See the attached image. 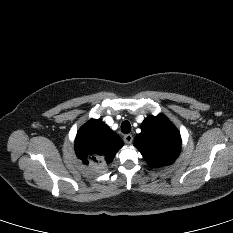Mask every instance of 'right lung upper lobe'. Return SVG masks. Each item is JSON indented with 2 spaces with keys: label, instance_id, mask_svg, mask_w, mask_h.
<instances>
[{
  "label": "right lung upper lobe",
  "instance_id": "1",
  "mask_svg": "<svg viewBox=\"0 0 233 233\" xmlns=\"http://www.w3.org/2000/svg\"><path fill=\"white\" fill-rule=\"evenodd\" d=\"M123 141L100 119H90L77 133L75 151L86 166L102 170L113 161Z\"/></svg>",
  "mask_w": 233,
  "mask_h": 233
}]
</instances>
